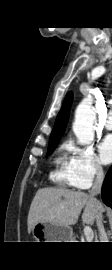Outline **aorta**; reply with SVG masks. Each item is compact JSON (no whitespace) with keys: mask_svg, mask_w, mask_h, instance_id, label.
I'll return each instance as SVG.
<instances>
[{"mask_svg":"<svg viewBox=\"0 0 112 270\" xmlns=\"http://www.w3.org/2000/svg\"><path fill=\"white\" fill-rule=\"evenodd\" d=\"M96 118L91 98L84 99L77 107L73 132L81 145L89 144L94 139L93 123Z\"/></svg>","mask_w":112,"mask_h":270,"instance_id":"obj_1","label":"aorta"}]
</instances>
